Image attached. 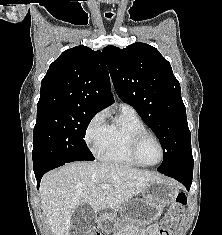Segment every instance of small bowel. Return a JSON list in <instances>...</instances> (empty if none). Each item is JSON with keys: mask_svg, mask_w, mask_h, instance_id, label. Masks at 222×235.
Returning a JSON list of instances; mask_svg holds the SVG:
<instances>
[{"mask_svg": "<svg viewBox=\"0 0 222 235\" xmlns=\"http://www.w3.org/2000/svg\"><path fill=\"white\" fill-rule=\"evenodd\" d=\"M150 234H151V235H158V232H157V229H156L155 226H152V227L150 228ZM118 235H121V234H118Z\"/></svg>", "mask_w": 222, "mask_h": 235, "instance_id": "small-bowel-1", "label": "small bowel"}]
</instances>
